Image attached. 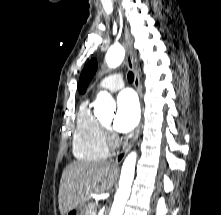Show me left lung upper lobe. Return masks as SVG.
Here are the masks:
<instances>
[{
	"instance_id": "left-lung-upper-lobe-1",
	"label": "left lung upper lobe",
	"mask_w": 221,
	"mask_h": 215,
	"mask_svg": "<svg viewBox=\"0 0 221 215\" xmlns=\"http://www.w3.org/2000/svg\"><path fill=\"white\" fill-rule=\"evenodd\" d=\"M97 69V60L92 59L88 62V64L84 67L80 75V81L78 85V89L80 93H84L86 91L87 86L89 85L91 79L93 78Z\"/></svg>"
}]
</instances>
